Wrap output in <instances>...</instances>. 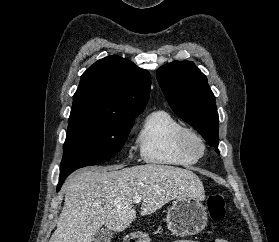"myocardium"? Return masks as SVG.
I'll list each match as a JSON object with an SVG mask.
<instances>
[{
    "mask_svg": "<svg viewBox=\"0 0 279 242\" xmlns=\"http://www.w3.org/2000/svg\"><path fill=\"white\" fill-rule=\"evenodd\" d=\"M178 145L187 155L199 159L206 150L203 137L194 129L182 127L178 133Z\"/></svg>",
    "mask_w": 279,
    "mask_h": 242,
    "instance_id": "f54148a6",
    "label": "myocardium"
}]
</instances>
